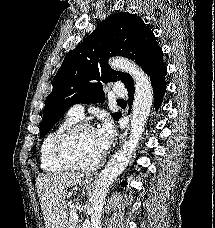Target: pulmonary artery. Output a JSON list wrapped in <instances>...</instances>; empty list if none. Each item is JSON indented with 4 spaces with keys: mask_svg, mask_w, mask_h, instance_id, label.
Returning a JSON list of instances; mask_svg holds the SVG:
<instances>
[{
    "mask_svg": "<svg viewBox=\"0 0 215 228\" xmlns=\"http://www.w3.org/2000/svg\"><path fill=\"white\" fill-rule=\"evenodd\" d=\"M111 89L114 96H128L129 89L126 88V84H111ZM68 114L77 120L82 119L84 116L83 105H72L68 110Z\"/></svg>",
    "mask_w": 215,
    "mask_h": 228,
    "instance_id": "e3ab8cb5",
    "label": "pulmonary artery"
}]
</instances>
